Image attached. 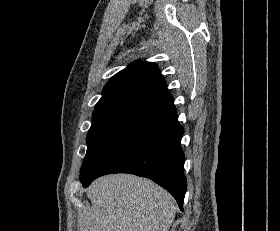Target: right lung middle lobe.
I'll list each match as a JSON object with an SVG mask.
<instances>
[{
    "mask_svg": "<svg viewBox=\"0 0 280 231\" xmlns=\"http://www.w3.org/2000/svg\"><path fill=\"white\" fill-rule=\"evenodd\" d=\"M133 125H135L133 122L122 119H92V125L86 138L87 152L81 172L100 150Z\"/></svg>",
    "mask_w": 280,
    "mask_h": 231,
    "instance_id": "obj_1",
    "label": "right lung middle lobe"
}]
</instances>
